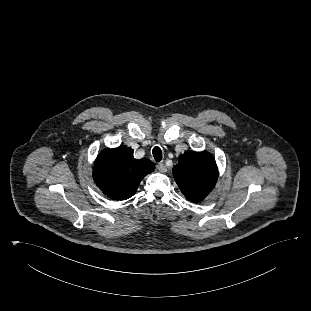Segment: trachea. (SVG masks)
Returning <instances> with one entry per match:
<instances>
[{
  "label": "trachea",
  "instance_id": "3493384b",
  "mask_svg": "<svg viewBox=\"0 0 311 311\" xmlns=\"http://www.w3.org/2000/svg\"><path fill=\"white\" fill-rule=\"evenodd\" d=\"M152 153L156 162H160L162 160V151L158 146L153 148Z\"/></svg>",
  "mask_w": 311,
  "mask_h": 311
}]
</instances>
